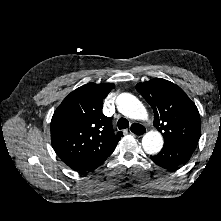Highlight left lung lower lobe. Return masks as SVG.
<instances>
[{"instance_id": "1", "label": "left lung lower lobe", "mask_w": 221, "mask_h": 221, "mask_svg": "<svg viewBox=\"0 0 221 221\" xmlns=\"http://www.w3.org/2000/svg\"><path fill=\"white\" fill-rule=\"evenodd\" d=\"M198 141H189L180 145H164L158 155L150 156L157 165L168 170L184 165L193 154Z\"/></svg>"}]
</instances>
